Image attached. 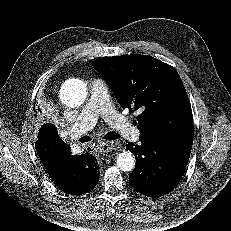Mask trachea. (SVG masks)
Instances as JSON below:
<instances>
[{"mask_svg":"<svg viewBox=\"0 0 231 231\" xmlns=\"http://www.w3.org/2000/svg\"><path fill=\"white\" fill-rule=\"evenodd\" d=\"M120 138V135L115 133V132H108L105 136H104V139H107V140H115V139H118ZM82 142H87L89 140H91L90 137L88 136H84L80 139Z\"/></svg>","mask_w":231,"mask_h":231,"instance_id":"obj_1","label":"trachea"}]
</instances>
